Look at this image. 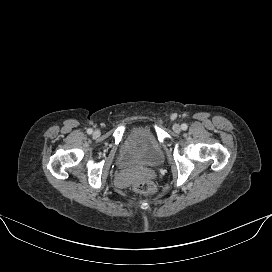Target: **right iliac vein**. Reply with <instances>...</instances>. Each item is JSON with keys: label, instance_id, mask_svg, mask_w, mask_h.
<instances>
[{"label": "right iliac vein", "instance_id": "1", "mask_svg": "<svg viewBox=\"0 0 272 272\" xmlns=\"http://www.w3.org/2000/svg\"><path fill=\"white\" fill-rule=\"evenodd\" d=\"M93 134H94V136L98 137V136H100V131L99 130H95Z\"/></svg>", "mask_w": 272, "mask_h": 272}]
</instances>
